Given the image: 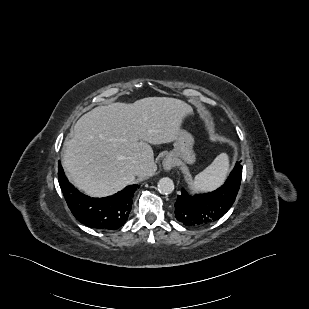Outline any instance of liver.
<instances>
[{
  "mask_svg": "<svg viewBox=\"0 0 309 309\" xmlns=\"http://www.w3.org/2000/svg\"><path fill=\"white\" fill-rule=\"evenodd\" d=\"M192 114L185 102L148 97L132 104L98 106L75 124L64 144L63 167L73 184L94 197L112 195L157 170L150 144L175 141L183 120ZM133 159L142 165L136 174Z\"/></svg>",
  "mask_w": 309,
  "mask_h": 309,
  "instance_id": "liver-1",
  "label": "liver"
}]
</instances>
